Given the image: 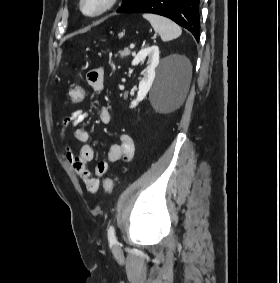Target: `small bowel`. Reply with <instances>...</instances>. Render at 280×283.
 Instances as JSON below:
<instances>
[{"label": "small bowel", "mask_w": 280, "mask_h": 283, "mask_svg": "<svg viewBox=\"0 0 280 283\" xmlns=\"http://www.w3.org/2000/svg\"><path fill=\"white\" fill-rule=\"evenodd\" d=\"M104 75L105 73L102 68L91 71L87 76L88 85L95 91L102 90L104 85ZM86 118L87 112L83 110H75L63 119V129L68 126L76 127L74 137L77 141L82 143L78 155L74 154L72 149L67 146L65 159L82 180L86 190L89 193L94 194L100 187L99 178L108 173L110 164L119 160L124 162L130 161L135 153V145L130 135L122 133L119 137V142L110 147L106 159L99 161L95 166L94 173H92L88 168V162L94 158V149L88 143L90 138L88 131L78 127V125L85 121ZM99 118L102 123L108 124L111 121V115L108 109L103 108Z\"/></svg>", "instance_id": "c3829d8e"}]
</instances>
